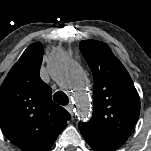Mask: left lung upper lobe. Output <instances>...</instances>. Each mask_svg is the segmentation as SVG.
Here are the masks:
<instances>
[{
    "instance_id": "1",
    "label": "left lung upper lobe",
    "mask_w": 151,
    "mask_h": 151,
    "mask_svg": "<svg viewBox=\"0 0 151 151\" xmlns=\"http://www.w3.org/2000/svg\"><path fill=\"white\" fill-rule=\"evenodd\" d=\"M80 51L94 77L93 115L79 124L81 134L127 139L140 114L129 73L104 42L83 40Z\"/></svg>"
}]
</instances>
